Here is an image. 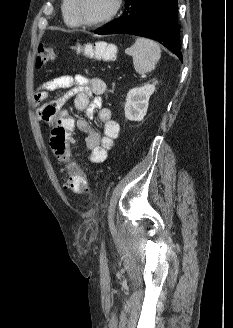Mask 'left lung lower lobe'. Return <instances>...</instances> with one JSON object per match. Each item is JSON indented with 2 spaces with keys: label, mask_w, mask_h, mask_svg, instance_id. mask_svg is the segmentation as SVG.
I'll use <instances>...</instances> for the list:
<instances>
[{
  "label": "left lung lower lobe",
  "mask_w": 233,
  "mask_h": 328,
  "mask_svg": "<svg viewBox=\"0 0 233 328\" xmlns=\"http://www.w3.org/2000/svg\"><path fill=\"white\" fill-rule=\"evenodd\" d=\"M123 15L96 34H131L157 40L182 61L177 24V0H125Z\"/></svg>",
  "instance_id": "0a47b994"
}]
</instances>
